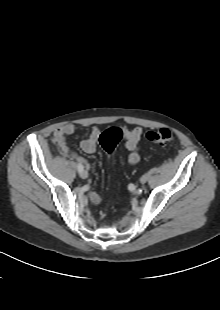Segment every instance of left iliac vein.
<instances>
[{"label":"left iliac vein","mask_w":220,"mask_h":310,"mask_svg":"<svg viewBox=\"0 0 220 310\" xmlns=\"http://www.w3.org/2000/svg\"><path fill=\"white\" fill-rule=\"evenodd\" d=\"M141 183H145L147 181V178L145 176H143L141 179H140Z\"/></svg>","instance_id":"left-iliac-vein-1"}]
</instances>
